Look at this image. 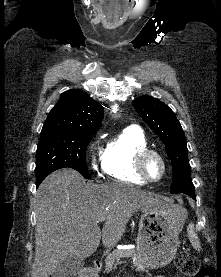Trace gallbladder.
Masks as SVG:
<instances>
[{
	"instance_id": "bac80fb5",
	"label": "gallbladder",
	"mask_w": 221,
	"mask_h": 277,
	"mask_svg": "<svg viewBox=\"0 0 221 277\" xmlns=\"http://www.w3.org/2000/svg\"><path fill=\"white\" fill-rule=\"evenodd\" d=\"M83 259L72 256L66 258L56 267L52 277H75L83 268Z\"/></svg>"
}]
</instances>
